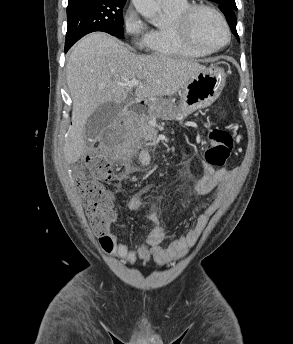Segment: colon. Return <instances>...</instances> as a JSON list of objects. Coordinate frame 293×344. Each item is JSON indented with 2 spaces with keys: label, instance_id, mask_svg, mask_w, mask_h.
<instances>
[{
  "label": "colon",
  "instance_id": "5ec220e1",
  "mask_svg": "<svg viewBox=\"0 0 293 344\" xmlns=\"http://www.w3.org/2000/svg\"><path fill=\"white\" fill-rule=\"evenodd\" d=\"M233 148L230 133L221 129H212L205 149V162L211 167H222L227 162ZM86 166L90 178L80 184V192L90 225L97 235H102L108 223L116 218L113 200L101 183L115 177L113 163L103 154H92L87 158Z\"/></svg>",
  "mask_w": 293,
  "mask_h": 344
}]
</instances>
